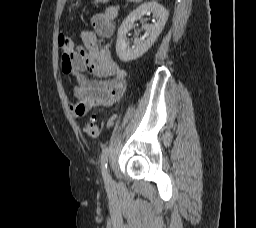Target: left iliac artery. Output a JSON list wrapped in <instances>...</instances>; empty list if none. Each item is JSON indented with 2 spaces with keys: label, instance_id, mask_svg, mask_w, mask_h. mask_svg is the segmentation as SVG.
Masks as SVG:
<instances>
[{
  "label": "left iliac artery",
  "instance_id": "left-iliac-artery-1",
  "mask_svg": "<svg viewBox=\"0 0 256 228\" xmlns=\"http://www.w3.org/2000/svg\"><path fill=\"white\" fill-rule=\"evenodd\" d=\"M109 155V149L105 147L101 154V166H102V173L105 175L107 169V160Z\"/></svg>",
  "mask_w": 256,
  "mask_h": 228
}]
</instances>
